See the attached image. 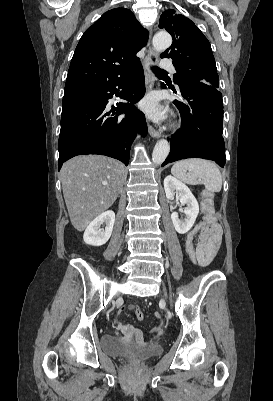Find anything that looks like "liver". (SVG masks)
<instances>
[{
    "mask_svg": "<svg viewBox=\"0 0 273 401\" xmlns=\"http://www.w3.org/2000/svg\"><path fill=\"white\" fill-rule=\"evenodd\" d=\"M124 172L122 162L101 154L74 156L64 162L60 178L74 229L84 231L115 203L122 192Z\"/></svg>",
    "mask_w": 273,
    "mask_h": 401,
    "instance_id": "obj_1",
    "label": "liver"
}]
</instances>
